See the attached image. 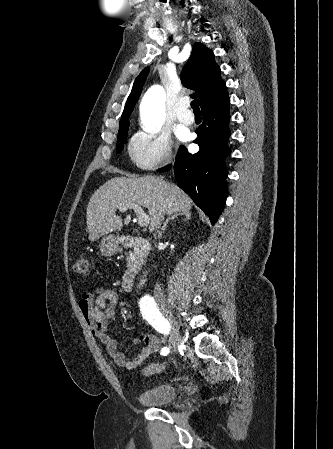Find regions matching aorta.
I'll use <instances>...</instances> for the list:
<instances>
[{"mask_svg":"<svg viewBox=\"0 0 333 449\" xmlns=\"http://www.w3.org/2000/svg\"><path fill=\"white\" fill-rule=\"evenodd\" d=\"M140 112L145 130L157 132L165 117V90L162 86H153L147 91Z\"/></svg>","mask_w":333,"mask_h":449,"instance_id":"1","label":"aorta"}]
</instances>
